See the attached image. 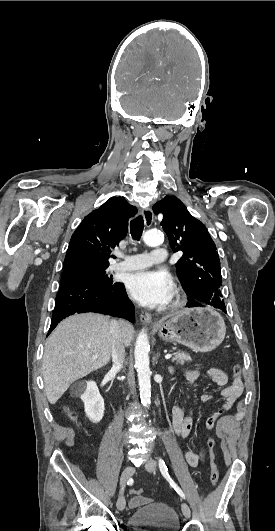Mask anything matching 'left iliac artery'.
Wrapping results in <instances>:
<instances>
[{
	"label": "left iliac artery",
	"mask_w": 275,
	"mask_h": 531,
	"mask_svg": "<svg viewBox=\"0 0 275 531\" xmlns=\"http://www.w3.org/2000/svg\"><path fill=\"white\" fill-rule=\"evenodd\" d=\"M158 462H159V468H160V471H161V474L163 475L164 478H166V480L169 482V484L171 485V487L174 488V490L183 498L185 499V495L183 493V491L179 488V486L173 481V479L170 477V475L168 474V468L164 462V460L162 458H159L158 459Z\"/></svg>",
	"instance_id": "obj_1"
}]
</instances>
